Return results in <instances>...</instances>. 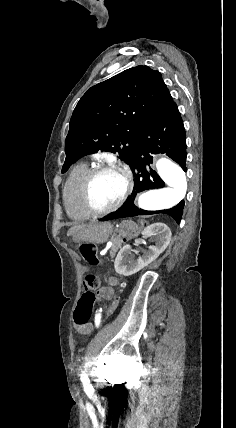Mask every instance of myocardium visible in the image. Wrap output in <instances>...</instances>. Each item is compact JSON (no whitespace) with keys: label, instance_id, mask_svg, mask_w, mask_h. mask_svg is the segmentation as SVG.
<instances>
[{"label":"myocardium","instance_id":"obj_1","mask_svg":"<svg viewBox=\"0 0 236 428\" xmlns=\"http://www.w3.org/2000/svg\"><path fill=\"white\" fill-rule=\"evenodd\" d=\"M108 170H120L124 174L126 179V190L123 196L121 197V199L116 204L105 208H100V207H97L91 199V193H90L91 185L94 179L99 174ZM134 186L135 184H134L133 173L127 164L123 162H117V161L104 162L92 167L86 174L85 178L83 179L81 188H80L81 201L84 208L93 215L108 214L120 209L127 202V200L130 198V196L134 191Z\"/></svg>","mask_w":236,"mask_h":428}]
</instances>
